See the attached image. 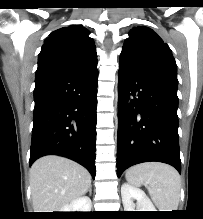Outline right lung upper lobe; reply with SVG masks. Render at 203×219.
<instances>
[{"instance_id": "obj_1", "label": "right lung upper lobe", "mask_w": 203, "mask_h": 219, "mask_svg": "<svg viewBox=\"0 0 203 219\" xmlns=\"http://www.w3.org/2000/svg\"><path fill=\"white\" fill-rule=\"evenodd\" d=\"M89 31L72 25L53 31L44 41L38 58L36 75L90 68L97 64L95 44Z\"/></svg>"}]
</instances>
